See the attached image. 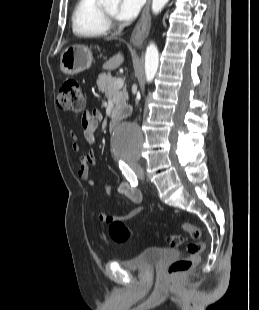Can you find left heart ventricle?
Here are the masks:
<instances>
[{"label":"left heart ventricle","mask_w":259,"mask_h":310,"mask_svg":"<svg viewBox=\"0 0 259 310\" xmlns=\"http://www.w3.org/2000/svg\"><path fill=\"white\" fill-rule=\"evenodd\" d=\"M104 8L110 15L115 16L117 8H118V4L117 3L109 4L105 6Z\"/></svg>","instance_id":"obj_1"}]
</instances>
